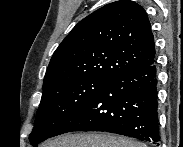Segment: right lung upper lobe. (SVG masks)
<instances>
[{
  "instance_id": "cb5924a9",
  "label": "right lung upper lobe",
  "mask_w": 183,
  "mask_h": 147,
  "mask_svg": "<svg viewBox=\"0 0 183 147\" xmlns=\"http://www.w3.org/2000/svg\"><path fill=\"white\" fill-rule=\"evenodd\" d=\"M155 63L145 10L130 0L103 6L82 19L54 52L43 88L84 78L111 80Z\"/></svg>"
}]
</instances>
